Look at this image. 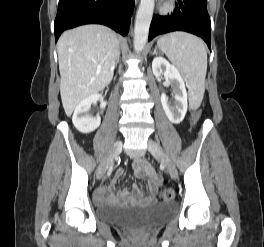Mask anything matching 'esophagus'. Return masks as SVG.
<instances>
[{"label": "esophagus", "instance_id": "1", "mask_svg": "<svg viewBox=\"0 0 264 247\" xmlns=\"http://www.w3.org/2000/svg\"><path fill=\"white\" fill-rule=\"evenodd\" d=\"M139 0H135V3L137 4Z\"/></svg>", "mask_w": 264, "mask_h": 247}]
</instances>
